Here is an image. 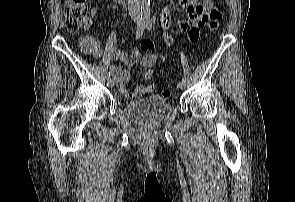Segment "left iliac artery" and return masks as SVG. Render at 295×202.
<instances>
[{"label": "left iliac artery", "mask_w": 295, "mask_h": 202, "mask_svg": "<svg viewBox=\"0 0 295 202\" xmlns=\"http://www.w3.org/2000/svg\"><path fill=\"white\" fill-rule=\"evenodd\" d=\"M146 28L150 31L152 29V23L151 21L146 22ZM182 80H187L186 76H183Z\"/></svg>", "instance_id": "44dca946"}]
</instances>
